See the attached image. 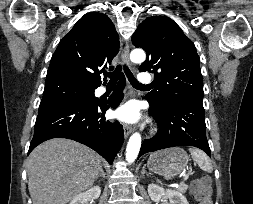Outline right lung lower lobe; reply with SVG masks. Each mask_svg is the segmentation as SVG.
I'll use <instances>...</instances> for the list:
<instances>
[{"label": "right lung lower lobe", "mask_w": 253, "mask_h": 204, "mask_svg": "<svg viewBox=\"0 0 253 204\" xmlns=\"http://www.w3.org/2000/svg\"><path fill=\"white\" fill-rule=\"evenodd\" d=\"M124 75L108 103L52 101L40 103L34 136L28 154L51 138H68L92 148L111 164L124 140L123 127L103 116L109 107L116 108L122 100Z\"/></svg>", "instance_id": "98d812e1"}]
</instances>
